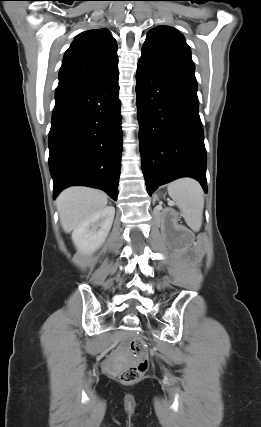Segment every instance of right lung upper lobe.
<instances>
[{
    "mask_svg": "<svg viewBox=\"0 0 261 427\" xmlns=\"http://www.w3.org/2000/svg\"><path fill=\"white\" fill-rule=\"evenodd\" d=\"M117 63V43L109 31L80 33L65 53L55 96L111 76Z\"/></svg>",
    "mask_w": 261,
    "mask_h": 427,
    "instance_id": "right-lung-upper-lobe-1",
    "label": "right lung upper lobe"
}]
</instances>
